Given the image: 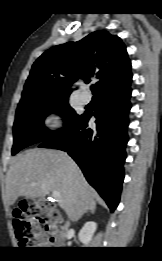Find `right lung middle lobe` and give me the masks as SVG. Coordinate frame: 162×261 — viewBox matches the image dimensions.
<instances>
[{
  "label": "right lung middle lobe",
  "instance_id": "1",
  "mask_svg": "<svg viewBox=\"0 0 162 261\" xmlns=\"http://www.w3.org/2000/svg\"><path fill=\"white\" fill-rule=\"evenodd\" d=\"M52 113L64 118L63 129L70 126L80 116L69 106L68 96L41 95L20 101L13 126L12 155L63 130L52 132L44 126L45 117Z\"/></svg>",
  "mask_w": 162,
  "mask_h": 261
}]
</instances>
